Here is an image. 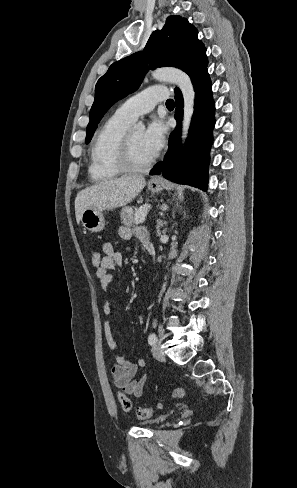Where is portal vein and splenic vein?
Returning a JSON list of instances; mask_svg holds the SVG:
<instances>
[{"label": "portal vein and splenic vein", "instance_id": "portal-vein-and-splenic-vein-1", "mask_svg": "<svg viewBox=\"0 0 297 488\" xmlns=\"http://www.w3.org/2000/svg\"><path fill=\"white\" fill-rule=\"evenodd\" d=\"M149 209H150V205H144V206H141L139 208L140 213H139V215H136V221L138 223L141 224V223L145 222Z\"/></svg>", "mask_w": 297, "mask_h": 488}]
</instances>
